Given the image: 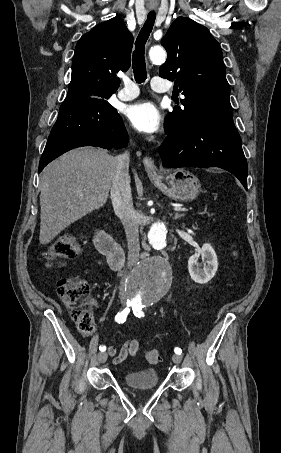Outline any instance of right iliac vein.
<instances>
[{
    "label": "right iliac vein",
    "instance_id": "right-iliac-vein-1",
    "mask_svg": "<svg viewBox=\"0 0 281 453\" xmlns=\"http://www.w3.org/2000/svg\"><path fill=\"white\" fill-rule=\"evenodd\" d=\"M107 356L108 354L106 353H99V358L97 361H100L103 365H105V362L107 361Z\"/></svg>",
    "mask_w": 281,
    "mask_h": 453
}]
</instances>
